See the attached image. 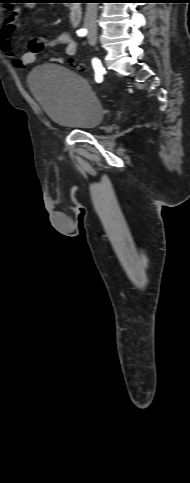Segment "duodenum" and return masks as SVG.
I'll return each instance as SVG.
<instances>
[{"label": "duodenum", "mask_w": 190, "mask_h": 483, "mask_svg": "<svg viewBox=\"0 0 190 483\" xmlns=\"http://www.w3.org/2000/svg\"><path fill=\"white\" fill-rule=\"evenodd\" d=\"M82 19V11L79 5H74L69 9V21L71 26L77 27Z\"/></svg>", "instance_id": "1"}]
</instances>
